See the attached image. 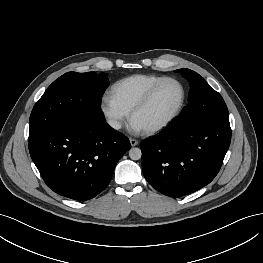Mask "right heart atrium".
<instances>
[{
  "instance_id": "right-heart-atrium-1",
  "label": "right heart atrium",
  "mask_w": 263,
  "mask_h": 263,
  "mask_svg": "<svg viewBox=\"0 0 263 263\" xmlns=\"http://www.w3.org/2000/svg\"><path fill=\"white\" fill-rule=\"evenodd\" d=\"M100 109L107 124L113 130H119L128 117V112L113 99L111 94L102 97Z\"/></svg>"
}]
</instances>
